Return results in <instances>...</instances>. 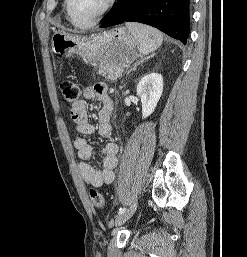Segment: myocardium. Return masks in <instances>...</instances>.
Masks as SVG:
<instances>
[{
	"instance_id": "f54148a6",
	"label": "myocardium",
	"mask_w": 247,
	"mask_h": 257,
	"mask_svg": "<svg viewBox=\"0 0 247 257\" xmlns=\"http://www.w3.org/2000/svg\"><path fill=\"white\" fill-rule=\"evenodd\" d=\"M115 3H116V0H107L104 8L100 11V13L92 21L86 24H80L72 17L71 10H70V0H65V9H66L67 18L74 26L82 29H87L96 25L113 8Z\"/></svg>"
}]
</instances>
